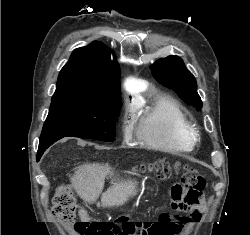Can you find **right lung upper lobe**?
I'll list each match as a JSON object with an SVG mask.
<instances>
[{
    "instance_id": "right-lung-upper-lobe-1",
    "label": "right lung upper lobe",
    "mask_w": 250,
    "mask_h": 235,
    "mask_svg": "<svg viewBox=\"0 0 250 235\" xmlns=\"http://www.w3.org/2000/svg\"><path fill=\"white\" fill-rule=\"evenodd\" d=\"M101 42L77 48L62 68L52 97L119 94V65Z\"/></svg>"
}]
</instances>
